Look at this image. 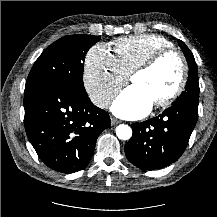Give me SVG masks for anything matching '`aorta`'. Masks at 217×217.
<instances>
[{"label":"aorta","instance_id":"1","mask_svg":"<svg viewBox=\"0 0 217 217\" xmlns=\"http://www.w3.org/2000/svg\"><path fill=\"white\" fill-rule=\"evenodd\" d=\"M116 135L120 140H129L132 136V129L126 124H120L116 127Z\"/></svg>","mask_w":217,"mask_h":217}]
</instances>
